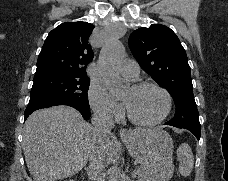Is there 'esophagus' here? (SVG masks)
I'll return each instance as SVG.
<instances>
[{"mask_svg": "<svg viewBox=\"0 0 228 181\" xmlns=\"http://www.w3.org/2000/svg\"><path fill=\"white\" fill-rule=\"evenodd\" d=\"M119 134H120L121 137L130 136V132L128 130H126V128H121L119 130Z\"/></svg>", "mask_w": 228, "mask_h": 181, "instance_id": "34e87169", "label": "esophagus"}]
</instances>
